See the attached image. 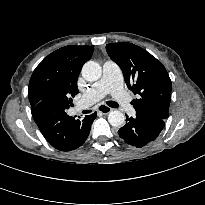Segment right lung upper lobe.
Listing matches in <instances>:
<instances>
[{
    "label": "right lung upper lobe",
    "mask_w": 205,
    "mask_h": 205,
    "mask_svg": "<svg viewBox=\"0 0 205 205\" xmlns=\"http://www.w3.org/2000/svg\"><path fill=\"white\" fill-rule=\"evenodd\" d=\"M93 51L94 46H65L49 54L31 76L28 87L31 108L61 92L78 94V75Z\"/></svg>",
    "instance_id": "1"
}]
</instances>
